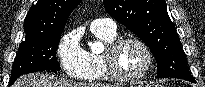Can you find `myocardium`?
Wrapping results in <instances>:
<instances>
[{
    "mask_svg": "<svg viewBox=\"0 0 205 87\" xmlns=\"http://www.w3.org/2000/svg\"><path fill=\"white\" fill-rule=\"evenodd\" d=\"M127 43H135L139 45L146 55V65L143 70L136 75H126L121 72L117 65V54L120 49ZM102 60L104 62L105 68L111 79L119 82H137L146 77L153 66V54L149 46L140 38L137 37H124L118 38L113 42L107 44L103 54Z\"/></svg>",
    "mask_w": 205,
    "mask_h": 87,
    "instance_id": "obj_1",
    "label": "myocardium"
}]
</instances>
